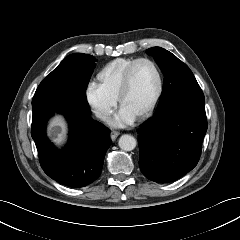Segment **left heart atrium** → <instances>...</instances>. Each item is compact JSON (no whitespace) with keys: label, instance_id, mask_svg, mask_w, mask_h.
<instances>
[{"label":"left heart atrium","instance_id":"obj_1","mask_svg":"<svg viewBox=\"0 0 240 240\" xmlns=\"http://www.w3.org/2000/svg\"><path fill=\"white\" fill-rule=\"evenodd\" d=\"M135 116L121 107L120 110L110 119V124L115 127H124L134 122Z\"/></svg>","mask_w":240,"mask_h":240}]
</instances>
